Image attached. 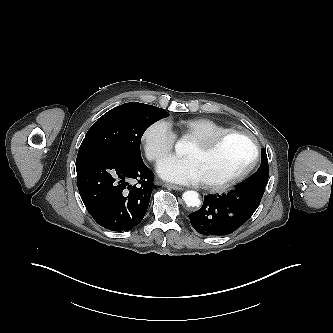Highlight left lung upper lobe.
Returning a JSON list of instances; mask_svg holds the SVG:
<instances>
[{"label": "left lung upper lobe", "mask_w": 333, "mask_h": 333, "mask_svg": "<svg viewBox=\"0 0 333 333\" xmlns=\"http://www.w3.org/2000/svg\"><path fill=\"white\" fill-rule=\"evenodd\" d=\"M269 170L266 151L262 150L261 165L254 175L239 185L241 188H256L264 190L268 182Z\"/></svg>", "instance_id": "5c2ea615"}]
</instances>
